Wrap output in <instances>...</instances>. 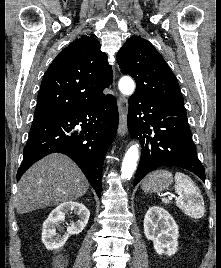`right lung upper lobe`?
<instances>
[{"mask_svg":"<svg viewBox=\"0 0 221 268\" xmlns=\"http://www.w3.org/2000/svg\"><path fill=\"white\" fill-rule=\"evenodd\" d=\"M97 39L82 36L62 50L47 69L34 117L62 114L106 97L113 81L107 55Z\"/></svg>","mask_w":221,"mask_h":268,"instance_id":"cb5924a9","label":"right lung upper lobe"}]
</instances>
